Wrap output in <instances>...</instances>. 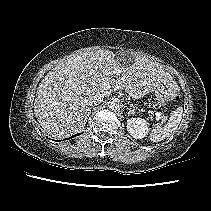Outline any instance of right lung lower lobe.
I'll return each mask as SVG.
<instances>
[{
  "label": "right lung lower lobe",
  "instance_id": "1",
  "mask_svg": "<svg viewBox=\"0 0 211 211\" xmlns=\"http://www.w3.org/2000/svg\"><path fill=\"white\" fill-rule=\"evenodd\" d=\"M77 135H79V134H75V135H73L72 137H75V136H77ZM72 137H70V138H72Z\"/></svg>",
  "mask_w": 211,
  "mask_h": 211
}]
</instances>
